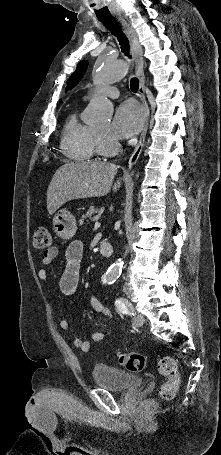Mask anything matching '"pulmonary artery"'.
<instances>
[{
	"mask_svg": "<svg viewBox=\"0 0 221 455\" xmlns=\"http://www.w3.org/2000/svg\"><path fill=\"white\" fill-rule=\"evenodd\" d=\"M100 92H102L103 94L107 95L108 97L110 98H117L119 96V91L116 87H113V86H105L103 87ZM90 93H87L85 95V98L89 97Z\"/></svg>",
	"mask_w": 221,
	"mask_h": 455,
	"instance_id": "e3ab8cb5",
	"label": "pulmonary artery"
}]
</instances>
